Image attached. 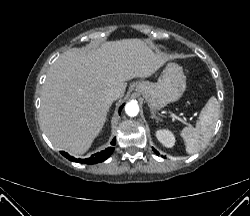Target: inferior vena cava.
Instances as JSON below:
<instances>
[{"label": "inferior vena cava", "instance_id": "602c4592", "mask_svg": "<svg viewBox=\"0 0 250 216\" xmlns=\"http://www.w3.org/2000/svg\"><path fill=\"white\" fill-rule=\"evenodd\" d=\"M106 97H107V99H109L111 101H115L121 97V93L118 89H109L106 92Z\"/></svg>", "mask_w": 250, "mask_h": 216}]
</instances>
